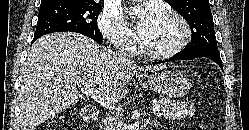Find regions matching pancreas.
I'll use <instances>...</instances> for the list:
<instances>
[{
	"label": "pancreas",
	"instance_id": "1",
	"mask_svg": "<svg viewBox=\"0 0 249 130\" xmlns=\"http://www.w3.org/2000/svg\"><path fill=\"white\" fill-rule=\"evenodd\" d=\"M158 103L161 108L158 114L166 119H182L187 116H192L195 112L193 106H188L183 102H175L166 98H159Z\"/></svg>",
	"mask_w": 249,
	"mask_h": 130
}]
</instances>
